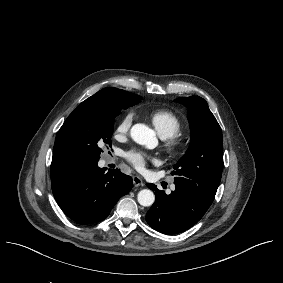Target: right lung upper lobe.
<instances>
[{
	"label": "right lung upper lobe",
	"instance_id": "1",
	"mask_svg": "<svg viewBox=\"0 0 283 283\" xmlns=\"http://www.w3.org/2000/svg\"><path fill=\"white\" fill-rule=\"evenodd\" d=\"M136 97L141 96L126 92L121 89L108 87L100 90L99 92L79 104L78 107L66 119L63 126L60 128L56 135L51 163V173L66 169L77 164L67 150L63 137L64 127L72 116L83 110L103 108L111 103L119 102L124 99H133Z\"/></svg>",
	"mask_w": 283,
	"mask_h": 283
}]
</instances>
